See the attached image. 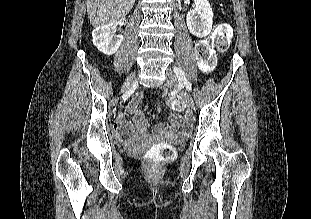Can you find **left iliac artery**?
Returning a JSON list of instances; mask_svg holds the SVG:
<instances>
[{"label": "left iliac artery", "instance_id": "44dca946", "mask_svg": "<svg viewBox=\"0 0 311 219\" xmlns=\"http://www.w3.org/2000/svg\"><path fill=\"white\" fill-rule=\"evenodd\" d=\"M174 72L178 77L179 83L183 84L188 91H191L192 87L188 79L185 77L183 71L179 67H174Z\"/></svg>", "mask_w": 311, "mask_h": 219}]
</instances>
